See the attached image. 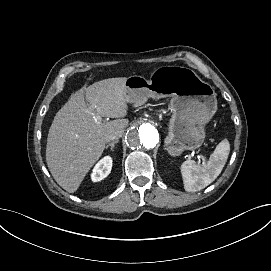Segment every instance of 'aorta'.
Segmentation results:
<instances>
[{
  "label": "aorta",
  "instance_id": "762f6f07",
  "mask_svg": "<svg viewBox=\"0 0 271 271\" xmlns=\"http://www.w3.org/2000/svg\"><path fill=\"white\" fill-rule=\"evenodd\" d=\"M125 140L131 149L147 151L157 145L159 133L154 124L145 119H138L128 129Z\"/></svg>",
  "mask_w": 271,
  "mask_h": 271
}]
</instances>
